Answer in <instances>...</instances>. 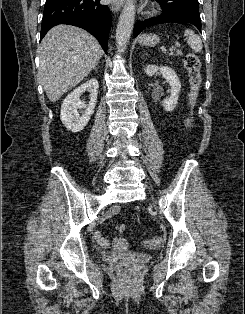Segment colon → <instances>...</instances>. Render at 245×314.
Returning a JSON list of instances; mask_svg holds the SVG:
<instances>
[{"mask_svg":"<svg viewBox=\"0 0 245 314\" xmlns=\"http://www.w3.org/2000/svg\"><path fill=\"white\" fill-rule=\"evenodd\" d=\"M184 64L188 71L190 81L189 103L193 108L201 85V64L199 58L194 53H190L185 57ZM191 122L192 118L188 117L186 119V126L190 127ZM161 244L162 241L159 237H152L144 241V245L151 249H157L161 246ZM117 270L121 275L127 276L130 271V266L125 262H121L117 265Z\"/></svg>","mask_w":245,"mask_h":314,"instance_id":"1","label":"colon"}]
</instances>
